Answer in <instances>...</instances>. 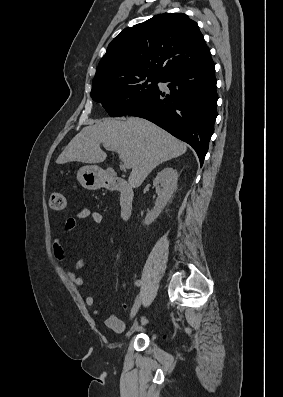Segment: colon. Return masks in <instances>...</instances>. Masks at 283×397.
Listing matches in <instances>:
<instances>
[{
    "label": "colon",
    "mask_w": 283,
    "mask_h": 397,
    "mask_svg": "<svg viewBox=\"0 0 283 397\" xmlns=\"http://www.w3.org/2000/svg\"><path fill=\"white\" fill-rule=\"evenodd\" d=\"M66 198L62 193L53 192L49 197V206L53 210L61 211L66 208Z\"/></svg>",
    "instance_id": "colon-1"
}]
</instances>
